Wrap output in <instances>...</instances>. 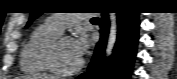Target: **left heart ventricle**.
Returning a JSON list of instances; mask_svg holds the SVG:
<instances>
[{
    "mask_svg": "<svg viewBox=\"0 0 177 79\" xmlns=\"http://www.w3.org/2000/svg\"><path fill=\"white\" fill-rule=\"evenodd\" d=\"M56 57L59 67L64 70L75 68L81 60L75 52L73 41L70 39H65L59 44Z\"/></svg>",
    "mask_w": 177,
    "mask_h": 79,
    "instance_id": "left-heart-ventricle-1",
    "label": "left heart ventricle"
}]
</instances>
